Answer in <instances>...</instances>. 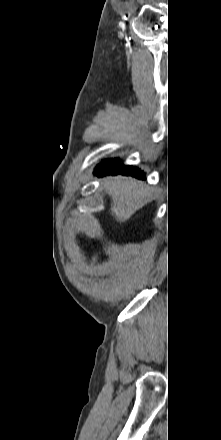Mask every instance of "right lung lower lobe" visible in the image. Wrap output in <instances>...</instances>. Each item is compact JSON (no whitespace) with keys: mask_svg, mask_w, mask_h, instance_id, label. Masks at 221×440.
Instances as JSON below:
<instances>
[{"mask_svg":"<svg viewBox=\"0 0 221 440\" xmlns=\"http://www.w3.org/2000/svg\"><path fill=\"white\" fill-rule=\"evenodd\" d=\"M94 174L98 176L106 174H122L145 179V174L141 170L129 165L120 164L118 159H106L103 163L97 165Z\"/></svg>","mask_w":221,"mask_h":440,"instance_id":"obj_1","label":"right lung lower lobe"}]
</instances>
